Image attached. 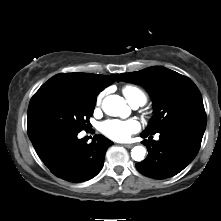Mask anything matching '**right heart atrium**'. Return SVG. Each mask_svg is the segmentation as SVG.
<instances>
[{
  "label": "right heart atrium",
  "instance_id": "1",
  "mask_svg": "<svg viewBox=\"0 0 221 221\" xmlns=\"http://www.w3.org/2000/svg\"><path fill=\"white\" fill-rule=\"evenodd\" d=\"M102 97H103V94H100V95L98 96L97 101H96L97 105H100V103H101V101H102Z\"/></svg>",
  "mask_w": 221,
  "mask_h": 221
}]
</instances>
